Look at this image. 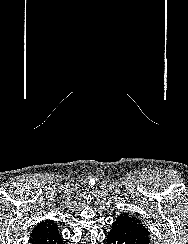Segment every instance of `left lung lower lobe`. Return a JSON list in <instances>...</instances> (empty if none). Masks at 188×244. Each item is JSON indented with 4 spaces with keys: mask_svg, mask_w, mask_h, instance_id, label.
Listing matches in <instances>:
<instances>
[{
    "mask_svg": "<svg viewBox=\"0 0 188 244\" xmlns=\"http://www.w3.org/2000/svg\"><path fill=\"white\" fill-rule=\"evenodd\" d=\"M106 244H150V238L127 214H120L112 224Z\"/></svg>",
    "mask_w": 188,
    "mask_h": 244,
    "instance_id": "left-lung-lower-lobe-1",
    "label": "left lung lower lobe"
}]
</instances>
